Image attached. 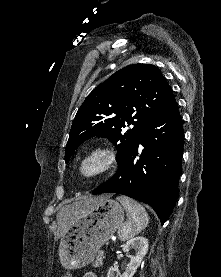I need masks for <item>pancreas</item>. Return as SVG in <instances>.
<instances>
[{
    "mask_svg": "<svg viewBox=\"0 0 221 277\" xmlns=\"http://www.w3.org/2000/svg\"><path fill=\"white\" fill-rule=\"evenodd\" d=\"M104 254L101 251L98 252L96 260L93 262V267L100 268L103 265Z\"/></svg>",
    "mask_w": 221,
    "mask_h": 277,
    "instance_id": "obj_1",
    "label": "pancreas"
}]
</instances>
